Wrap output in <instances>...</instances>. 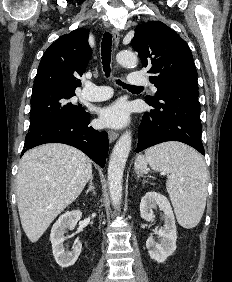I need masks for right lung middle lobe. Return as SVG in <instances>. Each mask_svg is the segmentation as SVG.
<instances>
[{
	"mask_svg": "<svg viewBox=\"0 0 232 282\" xmlns=\"http://www.w3.org/2000/svg\"><path fill=\"white\" fill-rule=\"evenodd\" d=\"M74 90L45 89L33 91L31 96L29 130L36 129L61 116L81 117L86 111L80 104L69 101Z\"/></svg>",
	"mask_w": 232,
	"mask_h": 282,
	"instance_id": "obj_1",
	"label": "right lung middle lobe"
}]
</instances>
